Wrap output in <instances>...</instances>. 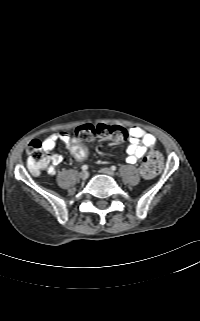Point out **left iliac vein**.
Listing matches in <instances>:
<instances>
[{
	"label": "left iliac vein",
	"instance_id": "left-iliac-vein-1",
	"mask_svg": "<svg viewBox=\"0 0 200 321\" xmlns=\"http://www.w3.org/2000/svg\"><path fill=\"white\" fill-rule=\"evenodd\" d=\"M100 172L109 176H114V172L110 168H102Z\"/></svg>",
	"mask_w": 200,
	"mask_h": 321
}]
</instances>
